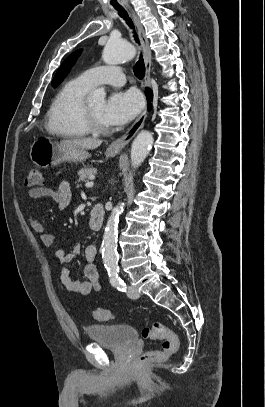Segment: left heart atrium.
Instances as JSON below:
<instances>
[{"label":"left heart atrium","instance_id":"39dd6f15","mask_svg":"<svg viewBox=\"0 0 265 407\" xmlns=\"http://www.w3.org/2000/svg\"><path fill=\"white\" fill-rule=\"evenodd\" d=\"M142 104L136 91L114 92L105 103L104 118L111 126L126 124L140 112Z\"/></svg>","mask_w":265,"mask_h":407}]
</instances>
